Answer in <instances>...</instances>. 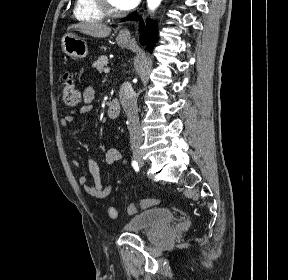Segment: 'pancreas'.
Listing matches in <instances>:
<instances>
[{
	"label": "pancreas",
	"instance_id": "obj_1",
	"mask_svg": "<svg viewBox=\"0 0 288 280\" xmlns=\"http://www.w3.org/2000/svg\"><path fill=\"white\" fill-rule=\"evenodd\" d=\"M108 58L107 56H100L97 61L93 63V66L97 69V71L102 72V70L107 66Z\"/></svg>",
	"mask_w": 288,
	"mask_h": 280
}]
</instances>
